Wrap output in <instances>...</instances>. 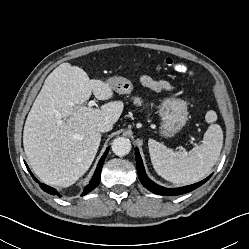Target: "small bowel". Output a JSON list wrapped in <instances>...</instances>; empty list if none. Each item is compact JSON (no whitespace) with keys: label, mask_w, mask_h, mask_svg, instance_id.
<instances>
[{"label":"small bowel","mask_w":249,"mask_h":249,"mask_svg":"<svg viewBox=\"0 0 249 249\" xmlns=\"http://www.w3.org/2000/svg\"><path fill=\"white\" fill-rule=\"evenodd\" d=\"M141 83L148 89L156 92L170 91L172 86L170 83L163 79H155L149 75H142L140 77Z\"/></svg>","instance_id":"small-bowel-1"}]
</instances>
